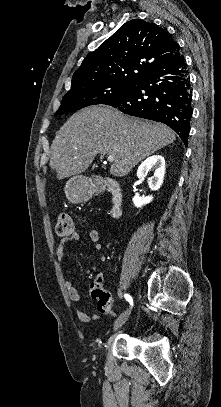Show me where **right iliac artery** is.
<instances>
[{
  "label": "right iliac artery",
  "instance_id": "right-iliac-artery-1",
  "mask_svg": "<svg viewBox=\"0 0 221 407\" xmlns=\"http://www.w3.org/2000/svg\"><path fill=\"white\" fill-rule=\"evenodd\" d=\"M124 296H125L126 300H127L131 305H133V300H132L131 296L128 295V294H125Z\"/></svg>",
  "mask_w": 221,
  "mask_h": 407
}]
</instances>
